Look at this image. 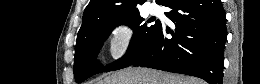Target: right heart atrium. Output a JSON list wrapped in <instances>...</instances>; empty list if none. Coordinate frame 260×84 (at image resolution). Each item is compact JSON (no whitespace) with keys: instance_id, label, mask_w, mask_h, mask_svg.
<instances>
[{"instance_id":"right-heart-atrium-1","label":"right heart atrium","mask_w":260,"mask_h":84,"mask_svg":"<svg viewBox=\"0 0 260 84\" xmlns=\"http://www.w3.org/2000/svg\"><path fill=\"white\" fill-rule=\"evenodd\" d=\"M136 38L134 25L125 19L112 24L108 29L109 52L113 59L122 60L131 52Z\"/></svg>"}]
</instances>
